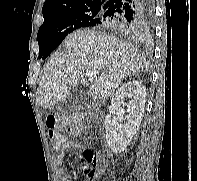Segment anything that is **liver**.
<instances>
[{"label":"liver","instance_id":"obj_1","mask_svg":"<svg viewBox=\"0 0 197 181\" xmlns=\"http://www.w3.org/2000/svg\"><path fill=\"white\" fill-rule=\"evenodd\" d=\"M66 53H55L44 68L37 102L43 108L57 104L70 94L78 82L89 86L83 73L95 71L89 86L95 100L114 95L122 81L133 73L144 71L149 63L131 43L107 33L82 30L71 33L63 42Z\"/></svg>","mask_w":197,"mask_h":181}]
</instances>
